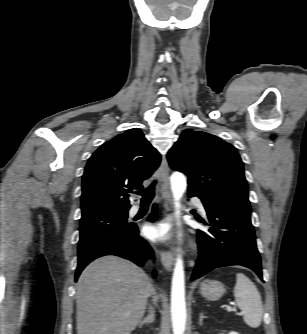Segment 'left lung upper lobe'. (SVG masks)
I'll use <instances>...</instances> for the list:
<instances>
[{
  "instance_id": "left-lung-upper-lobe-1",
  "label": "left lung upper lobe",
  "mask_w": 307,
  "mask_h": 334,
  "mask_svg": "<svg viewBox=\"0 0 307 334\" xmlns=\"http://www.w3.org/2000/svg\"><path fill=\"white\" fill-rule=\"evenodd\" d=\"M170 167L188 176V191L203 203L251 213L243 162L234 146L215 135L184 130L167 154Z\"/></svg>"
}]
</instances>
